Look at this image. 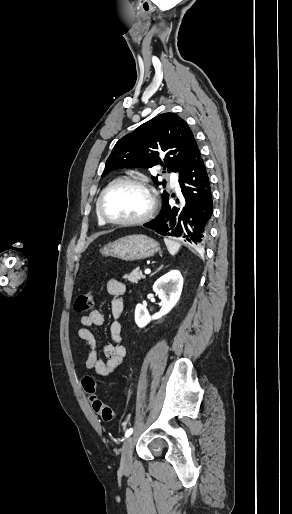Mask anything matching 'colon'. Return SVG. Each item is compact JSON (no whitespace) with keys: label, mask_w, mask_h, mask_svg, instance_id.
Returning a JSON list of instances; mask_svg holds the SVG:
<instances>
[{"label":"colon","mask_w":292,"mask_h":514,"mask_svg":"<svg viewBox=\"0 0 292 514\" xmlns=\"http://www.w3.org/2000/svg\"><path fill=\"white\" fill-rule=\"evenodd\" d=\"M93 303L94 293L92 291L82 292L75 300V311L78 313L88 312L93 307ZM82 379L83 387L86 391H88V394L92 396L96 395L98 390L92 374L86 372L83 374ZM89 402L92 404L94 410L102 417V419L110 420L114 417L113 409L110 406L103 404L101 400L92 398L89 400Z\"/></svg>","instance_id":"5ec220e1"}]
</instances>
